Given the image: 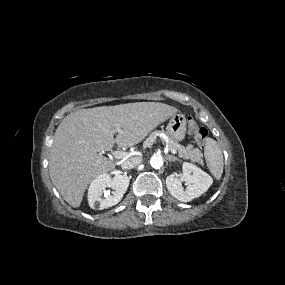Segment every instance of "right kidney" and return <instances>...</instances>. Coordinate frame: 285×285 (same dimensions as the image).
Returning <instances> with one entry per match:
<instances>
[{"label": "right kidney", "mask_w": 285, "mask_h": 285, "mask_svg": "<svg viewBox=\"0 0 285 285\" xmlns=\"http://www.w3.org/2000/svg\"><path fill=\"white\" fill-rule=\"evenodd\" d=\"M129 178L126 175L116 174L113 178L107 173L97 176L88 189V203L92 209L103 210L120 202L129 186ZM113 188L114 191H106Z\"/></svg>", "instance_id": "right-kidney-1"}]
</instances>
